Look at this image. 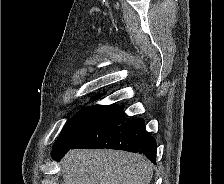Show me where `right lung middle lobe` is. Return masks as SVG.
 <instances>
[{"instance_id": "dd1d6c3e", "label": "right lung middle lobe", "mask_w": 224, "mask_h": 184, "mask_svg": "<svg viewBox=\"0 0 224 184\" xmlns=\"http://www.w3.org/2000/svg\"><path fill=\"white\" fill-rule=\"evenodd\" d=\"M99 97L100 95H97L95 98L97 99ZM117 107V104L93 105L78 112L66 123L58 139L55 141L53 148L73 142L84 132L103 121Z\"/></svg>"}]
</instances>
